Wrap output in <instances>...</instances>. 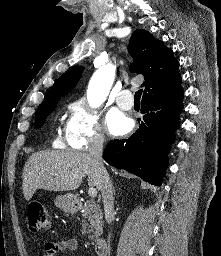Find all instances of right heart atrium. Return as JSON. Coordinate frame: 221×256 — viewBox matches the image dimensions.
Listing matches in <instances>:
<instances>
[{"instance_id":"obj_1","label":"right heart atrium","mask_w":221,"mask_h":256,"mask_svg":"<svg viewBox=\"0 0 221 256\" xmlns=\"http://www.w3.org/2000/svg\"><path fill=\"white\" fill-rule=\"evenodd\" d=\"M104 141L105 135L98 113L84 102L71 104L60 142L70 148L87 150L103 145Z\"/></svg>"}]
</instances>
